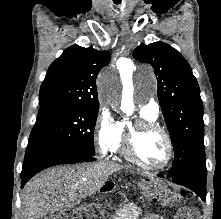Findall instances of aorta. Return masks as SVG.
<instances>
[{
  "instance_id": "1",
  "label": "aorta",
  "mask_w": 221,
  "mask_h": 219,
  "mask_svg": "<svg viewBox=\"0 0 221 219\" xmlns=\"http://www.w3.org/2000/svg\"><path fill=\"white\" fill-rule=\"evenodd\" d=\"M122 69L130 73L133 71L134 65L131 60L125 59L121 62ZM116 79L113 75L103 74L100 77V94L103 99L109 100L110 102H119V97L116 92ZM121 109L127 115H131L134 109L132 97L123 98L121 100Z\"/></svg>"
}]
</instances>
